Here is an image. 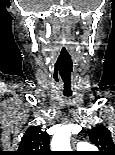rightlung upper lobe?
<instances>
[{
	"label": "right lung upper lobe",
	"mask_w": 115,
	"mask_h": 155,
	"mask_svg": "<svg viewBox=\"0 0 115 155\" xmlns=\"http://www.w3.org/2000/svg\"><path fill=\"white\" fill-rule=\"evenodd\" d=\"M15 155H52L48 135L40 126H31L24 133Z\"/></svg>",
	"instance_id": "1"
}]
</instances>
